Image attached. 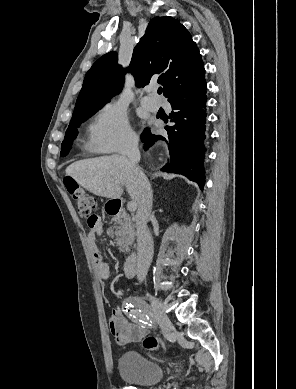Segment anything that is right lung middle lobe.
<instances>
[{
	"label": "right lung middle lobe",
	"instance_id": "1",
	"mask_svg": "<svg viewBox=\"0 0 296 389\" xmlns=\"http://www.w3.org/2000/svg\"><path fill=\"white\" fill-rule=\"evenodd\" d=\"M100 108L101 107L86 108L76 114H73L69 127L65 133V138L62 142L61 156L67 155L69 150L72 148V141L78 135L76 127H78L84 120L95 114Z\"/></svg>",
	"mask_w": 296,
	"mask_h": 389
}]
</instances>
